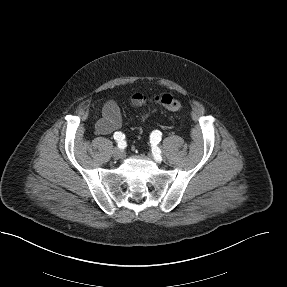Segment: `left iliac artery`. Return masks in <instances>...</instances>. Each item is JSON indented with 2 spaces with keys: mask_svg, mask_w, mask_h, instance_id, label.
Wrapping results in <instances>:
<instances>
[{
  "mask_svg": "<svg viewBox=\"0 0 287 287\" xmlns=\"http://www.w3.org/2000/svg\"><path fill=\"white\" fill-rule=\"evenodd\" d=\"M161 141V132L155 130L150 135V142L154 145L158 144Z\"/></svg>",
  "mask_w": 287,
  "mask_h": 287,
  "instance_id": "44dca946",
  "label": "left iliac artery"
}]
</instances>
